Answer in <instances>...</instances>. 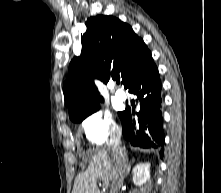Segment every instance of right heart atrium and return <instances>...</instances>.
I'll list each match as a JSON object with an SVG mask.
<instances>
[{
  "label": "right heart atrium",
  "mask_w": 221,
  "mask_h": 193,
  "mask_svg": "<svg viewBox=\"0 0 221 193\" xmlns=\"http://www.w3.org/2000/svg\"><path fill=\"white\" fill-rule=\"evenodd\" d=\"M82 129L87 141L96 146L107 143L120 133L112 113L105 109H98L89 114L82 123Z\"/></svg>",
  "instance_id": "1"
}]
</instances>
